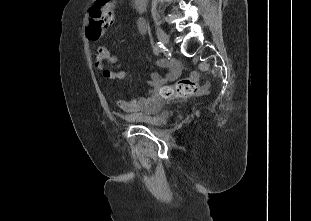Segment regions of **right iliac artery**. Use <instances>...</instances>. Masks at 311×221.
Listing matches in <instances>:
<instances>
[{"instance_id": "1", "label": "right iliac artery", "mask_w": 311, "mask_h": 221, "mask_svg": "<svg viewBox=\"0 0 311 221\" xmlns=\"http://www.w3.org/2000/svg\"><path fill=\"white\" fill-rule=\"evenodd\" d=\"M163 49V44L161 42H157L154 46V53L159 54Z\"/></svg>"}]
</instances>
